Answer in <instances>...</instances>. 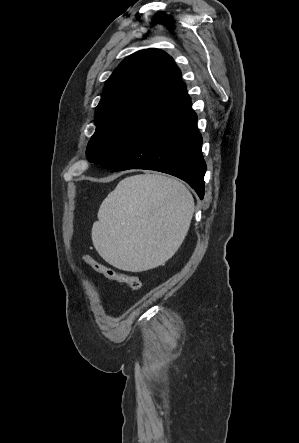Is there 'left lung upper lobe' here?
I'll return each instance as SVG.
<instances>
[{"instance_id": "obj_1", "label": "left lung upper lobe", "mask_w": 299, "mask_h": 443, "mask_svg": "<svg viewBox=\"0 0 299 443\" xmlns=\"http://www.w3.org/2000/svg\"><path fill=\"white\" fill-rule=\"evenodd\" d=\"M185 89L166 52L151 48L126 57L106 81L96 108L88 160L112 168Z\"/></svg>"}]
</instances>
